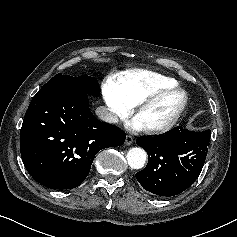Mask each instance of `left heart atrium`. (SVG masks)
<instances>
[{
  "label": "left heart atrium",
  "mask_w": 237,
  "mask_h": 237,
  "mask_svg": "<svg viewBox=\"0 0 237 237\" xmlns=\"http://www.w3.org/2000/svg\"><path fill=\"white\" fill-rule=\"evenodd\" d=\"M129 126L133 130H140L144 128V126L141 124V122L137 118H134L129 124Z\"/></svg>",
  "instance_id": "1"
}]
</instances>
